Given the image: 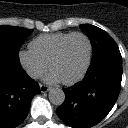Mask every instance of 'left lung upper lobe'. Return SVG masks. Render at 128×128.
Returning a JSON list of instances; mask_svg holds the SVG:
<instances>
[{
	"instance_id": "obj_1",
	"label": "left lung upper lobe",
	"mask_w": 128,
	"mask_h": 128,
	"mask_svg": "<svg viewBox=\"0 0 128 128\" xmlns=\"http://www.w3.org/2000/svg\"><path fill=\"white\" fill-rule=\"evenodd\" d=\"M80 27L91 41L93 47L92 60L105 53L120 52L116 42L106 31L90 24H82Z\"/></svg>"
}]
</instances>
